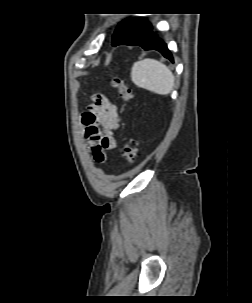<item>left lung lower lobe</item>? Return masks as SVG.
I'll return each instance as SVG.
<instances>
[{
	"instance_id": "obj_1",
	"label": "left lung lower lobe",
	"mask_w": 252,
	"mask_h": 303,
	"mask_svg": "<svg viewBox=\"0 0 252 303\" xmlns=\"http://www.w3.org/2000/svg\"><path fill=\"white\" fill-rule=\"evenodd\" d=\"M117 45H137L145 50H156L173 62L172 54L166 44L152 32V26L146 20H141L136 27L115 46Z\"/></svg>"
}]
</instances>
